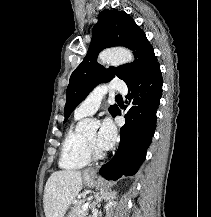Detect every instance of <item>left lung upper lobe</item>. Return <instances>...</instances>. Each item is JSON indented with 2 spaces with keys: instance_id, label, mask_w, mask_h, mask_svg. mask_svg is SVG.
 Segmentation results:
<instances>
[{
  "instance_id": "5c2ea615",
  "label": "left lung upper lobe",
  "mask_w": 211,
  "mask_h": 217,
  "mask_svg": "<svg viewBox=\"0 0 211 217\" xmlns=\"http://www.w3.org/2000/svg\"><path fill=\"white\" fill-rule=\"evenodd\" d=\"M116 46L131 49L136 60L105 69L97 63V56L103 49ZM157 64L159 63L153 47L134 20L124 11L103 10L98 17V23L93 27L88 53L71 74L66 91L64 122L99 83L108 82L117 76L128 85ZM117 110V105L109 108L112 116Z\"/></svg>"
}]
</instances>
